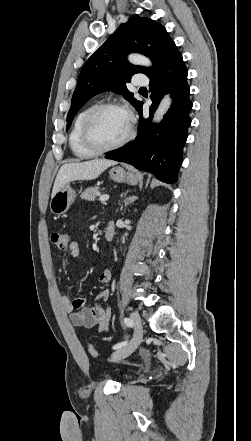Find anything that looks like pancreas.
<instances>
[{
  "mask_svg": "<svg viewBox=\"0 0 251 441\" xmlns=\"http://www.w3.org/2000/svg\"><path fill=\"white\" fill-rule=\"evenodd\" d=\"M99 187H89L81 194V199L88 200V201H94L95 196L99 195Z\"/></svg>",
  "mask_w": 251,
  "mask_h": 441,
  "instance_id": "1",
  "label": "pancreas"
}]
</instances>
